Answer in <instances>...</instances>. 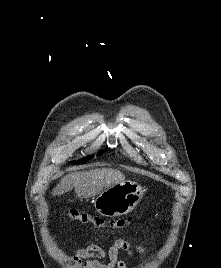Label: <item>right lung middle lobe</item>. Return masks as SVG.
Here are the masks:
<instances>
[{
	"label": "right lung middle lobe",
	"mask_w": 221,
	"mask_h": 268,
	"mask_svg": "<svg viewBox=\"0 0 221 268\" xmlns=\"http://www.w3.org/2000/svg\"><path fill=\"white\" fill-rule=\"evenodd\" d=\"M102 153H103V152L99 153L98 155H102ZM92 157H93V155L88 156V157H85V158H83L82 160L77 161L76 163H78V164L84 163V162L88 161V160H89L90 158H92Z\"/></svg>",
	"instance_id": "right-lung-middle-lobe-1"
}]
</instances>
